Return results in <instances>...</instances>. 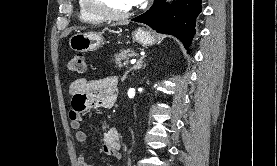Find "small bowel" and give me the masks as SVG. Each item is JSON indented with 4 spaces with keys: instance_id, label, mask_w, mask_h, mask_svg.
<instances>
[{
    "instance_id": "1",
    "label": "small bowel",
    "mask_w": 277,
    "mask_h": 166,
    "mask_svg": "<svg viewBox=\"0 0 277 166\" xmlns=\"http://www.w3.org/2000/svg\"><path fill=\"white\" fill-rule=\"evenodd\" d=\"M117 80L115 77L88 80L79 78L70 85V126L76 131L75 138L79 144H84L87 134L82 130V123L93 111L111 108L117 98ZM120 136L116 128L106 129L103 135L102 152L115 160L121 159ZM79 166L91 165L84 152L77 158Z\"/></svg>"
}]
</instances>
